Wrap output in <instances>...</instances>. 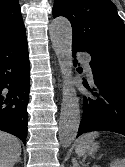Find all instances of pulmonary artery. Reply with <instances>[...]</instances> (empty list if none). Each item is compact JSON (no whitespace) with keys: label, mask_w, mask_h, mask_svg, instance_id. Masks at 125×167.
I'll use <instances>...</instances> for the list:
<instances>
[{"label":"pulmonary artery","mask_w":125,"mask_h":167,"mask_svg":"<svg viewBox=\"0 0 125 167\" xmlns=\"http://www.w3.org/2000/svg\"><path fill=\"white\" fill-rule=\"evenodd\" d=\"M78 58L86 62L85 71L87 73V76L90 79H92L93 76H92L91 68H90V66L88 64V58L85 55H79Z\"/></svg>","instance_id":"pulmonary-artery-1"}]
</instances>
